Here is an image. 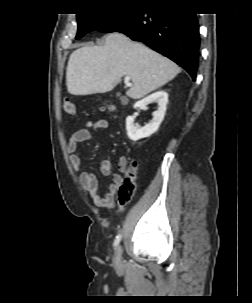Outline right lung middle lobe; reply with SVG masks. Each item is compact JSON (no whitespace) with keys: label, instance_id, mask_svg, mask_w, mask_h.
I'll return each mask as SVG.
<instances>
[{"label":"right lung middle lobe","instance_id":"right-lung-middle-lobe-1","mask_svg":"<svg viewBox=\"0 0 252 303\" xmlns=\"http://www.w3.org/2000/svg\"><path fill=\"white\" fill-rule=\"evenodd\" d=\"M126 13L127 11L114 13L77 14L78 32L76 39L81 38L88 32L94 30L99 31Z\"/></svg>","mask_w":252,"mask_h":303}]
</instances>
